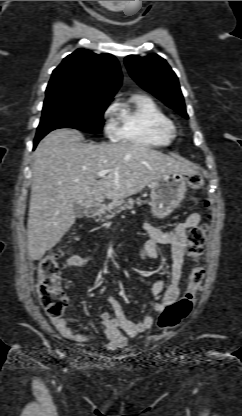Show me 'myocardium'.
<instances>
[{
    "mask_svg": "<svg viewBox=\"0 0 242 416\" xmlns=\"http://www.w3.org/2000/svg\"><path fill=\"white\" fill-rule=\"evenodd\" d=\"M171 130H172V131H174V127H173V125H172V124H171Z\"/></svg>",
    "mask_w": 242,
    "mask_h": 416,
    "instance_id": "obj_1",
    "label": "myocardium"
}]
</instances>
